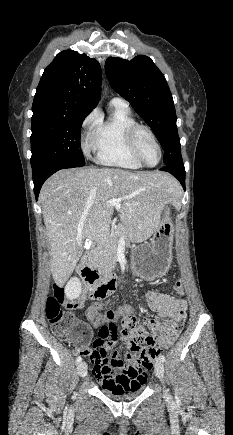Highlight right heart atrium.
I'll return each instance as SVG.
<instances>
[{
    "label": "right heart atrium",
    "mask_w": 233,
    "mask_h": 435,
    "mask_svg": "<svg viewBox=\"0 0 233 435\" xmlns=\"http://www.w3.org/2000/svg\"><path fill=\"white\" fill-rule=\"evenodd\" d=\"M98 120V116L95 112H91L83 121V127L87 128V127H91L93 125L96 124ZM92 144L90 141H86L84 143V151L85 153H88L90 148H91Z\"/></svg>",
    "instance_id": "obj_1"
}]
</instances>
